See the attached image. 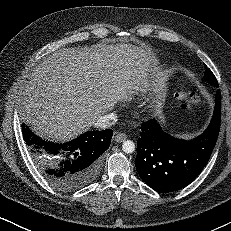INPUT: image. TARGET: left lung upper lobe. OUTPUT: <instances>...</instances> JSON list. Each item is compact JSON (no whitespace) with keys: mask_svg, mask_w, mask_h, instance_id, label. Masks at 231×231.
Masks as SVG:
<instances>
[{"mask_svg":"<svg viewBox=\"0 0 231 231\" xmlns=\"http://www.w3.org/2000/svg\"><path fill=\"white\" fill-rule=\"evenodd\" d=\"M205 80L210 83L211 85H218V82L214 76V74L212 73V71L208 68L205 71V75H204Z\"/></svg>","mask_w":231,"mask_h":231,"instance_id":"5c2ea615","label":"left lung upper lobe"}]
</instances>
